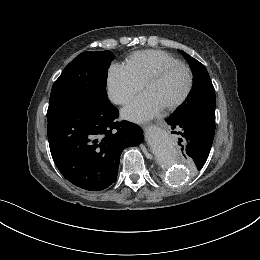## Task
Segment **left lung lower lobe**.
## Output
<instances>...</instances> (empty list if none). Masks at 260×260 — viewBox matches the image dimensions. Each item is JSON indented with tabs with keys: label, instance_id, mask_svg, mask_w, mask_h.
I'll list each match as a JSON object with an SVG mask.
<instances>
[{
	"label": "left lung lower lobe",
	"instance_id": "obj_1",
	"mask_svg": "<svg viewBox=\"0 0 260 260\" xmlns=\"http://www.w3.org/2000/svg\"><path fill=\"white\" fill-rule=\"evenodd\" d=\"M167 124L178 135V144L190 166L201 170L204 166L215 134V114L206 111L174 113Z\"/></svg>",
	"mask_w": 260,
	"mask_h": 260
}]
</instances>
